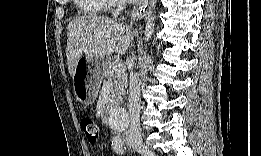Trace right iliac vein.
I'll return each mask as SVG.
<instances>
[{
	"mask_svg": "<svg viewBox=\"0 0 261 156\" xmlns=\"http://www.w3.org/2000/svg\"><path fill=\"white\" fill-rule=\"evenodd\" d=\"M132 146L136 151H138L143 156H154L153 151L143 143L137 142L134 143Z\"/></svg>",
	"mask_w": 261,
	"mask_h": 156,
	"instance_id": "63e3f726",
	"label": "right iliac vein"
}]
</instances>
